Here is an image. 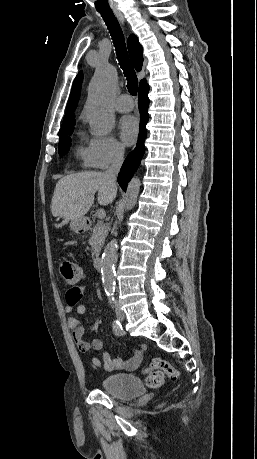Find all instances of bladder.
I'll list each match as a JSON object with an SVG mask.
<instances>
[{"label":"bladder","mask_w":257,"mask_h":459,"mask_svg":"<svg viewBox=\"0 0 257 459\" xmlns=\"http://www.w3.org/2000/svg\"><path fill=\"white\" fill-rule=\"evenodd\" d=\"M100 389L121 400H131L146 393L142 381L133 374L115 373L100 381Z\"/></svg>","instance_id":"31cf9c89"}]
</instances>
